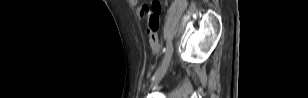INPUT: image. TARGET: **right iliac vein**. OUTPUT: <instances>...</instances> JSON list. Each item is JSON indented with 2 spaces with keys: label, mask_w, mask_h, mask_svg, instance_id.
I'll list each match as a JSON object with an SVG mask.
<instances>
[{
  "label": "right iliac vein",
  "mask_w": 308,
  "mask_h": 98,
  "mask_svg": "<svg viewBox=\"0 0 308 98\" xmlns=\"http://www.w3.org/2000/svg\"><path fill=\"white\" fill-rule=\"evenodd\" d=\"M171 56H172V53L171 54H166L165 55V58H164V66L161 68L160 71H158L151 79V85H156L158 84L161 79L164 77L167 69H168V66L170 64V60H171Z\"/></svg>",
  "instance_id": "1"
}]
</instances>
